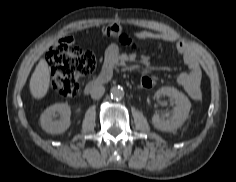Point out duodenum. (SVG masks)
Wrapping results in <instances>:
<instances>
[{
  "instance_id": "1",
  "label": "duodenum",
  "mask_w": 236,
  "mask_h": 182,
  "mask_svg": "<svg viewBox=\"0 0 236 182\" xmlns=\"http://www.w3.org/2000/svg\"><path fill=\"white\" fill-rule=\"evenodd\" d=\"M111 78H112V70L109 67H105L99 76H97V77L91 79L89 82H87V84L85 85V88H84V92L86 94H89L97 86L110 81Z\"/></svg>"
}]
</instances>
